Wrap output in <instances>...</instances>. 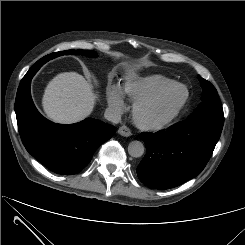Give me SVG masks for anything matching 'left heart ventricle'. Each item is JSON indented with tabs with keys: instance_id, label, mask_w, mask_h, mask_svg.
I'll use <instances>...</instances> for the list:
<instances>
[{
	"instance_id": "1",
	"label": "left heart ventricle",
	"mask_w": 245,
	"mask_h": 245,
	"mask_svg": "<svg viewBox=\"0 0 245 245\" xmlns=\"http://www.w3.org/2000/svg\"><path fill=\"white\" fill-rule=\"evenodd\" d=\"M184 91L180 88L172 90L159 102L150 105L144 111V118L148 121H158L165 118L177 107Z\"/></svg>"
}]
</instances>
